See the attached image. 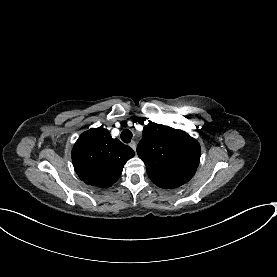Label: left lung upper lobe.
Returning <instances> with one entry per match:
<instances>
[{"mask_svg":"<svg viewBox=\"0 0 277 277\" xmlns=\"http://www.w3.org/2000/svg\"><path fill=\"white\" fill-rule=\"evenodd\" d=\"M137 154L149 178L161 188H177L194 175L200 161L199 143L187 133L149 122L144 126Z\"/></svg>","mask_w":277,"mask_h":277,"instance_id":"left-lung-upper-lobe-1","label":"left lung upper lobe"}]
</instances>
